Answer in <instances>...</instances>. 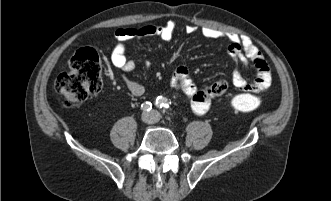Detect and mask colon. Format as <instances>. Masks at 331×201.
I'll return each mask as SVG.
<instances>
[{
    "label": "colon",
    "mask_w": 331,
    "mask_h": 201,
    "mask_svg": "<svg viewBox=\"0 0 331 201\" xmlns=\"http://www.w3.org/2000/svg\"><path fill=\"white\" fill-rule=\"evenodd\" d=\"M101 63L97 51L91 47L80 48L70 59L69 68L55 80L54 89L62 96L66 107H75L102 90ZM262 98L254 93L233 96L229 107L235 112L258 109Z\"/></svg>",
    "instance_id": "obj_1"
}]
</instances>
